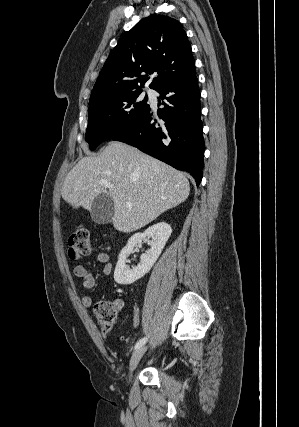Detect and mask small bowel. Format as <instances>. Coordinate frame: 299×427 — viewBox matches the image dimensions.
Masks as SVG:
<instances>
[{"label": "small bowel", "instance_id": "small-bowel-1", "mask_svg": "<svg viewBox=\"0 0 299 427\" xmlns=\"http://www.w3.org/2000/svg\"><path fill=\"white\" fill-rule=\"evenodd\" d=\"M96 263L102 265V273L104 275L111 274L113 270L112 264L109 262V257L106 253H99L97 254ZM73 273L76 277L80 278L82 280V285L87 290L94 289L96 285V280L94 276L81 264H76L73 267ZM82 305L85 308H90L93 305V297L90 295H85L82 298ZM113 309L119 313L122 311L124 307V301L122 299H116L113 301L112 305ZM133 322L137 326L140 322V310L138 308L134 309L133 312Z\"/></svg>", "mask_w": 299, "mask_h": 427}]
</instances>
